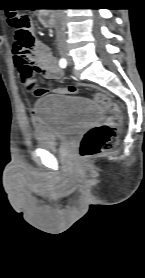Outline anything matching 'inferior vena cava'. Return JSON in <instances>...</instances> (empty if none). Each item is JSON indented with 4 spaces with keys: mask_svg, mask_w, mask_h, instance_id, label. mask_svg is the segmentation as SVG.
<instances>
[{
    "mask_svg": "<svg viewBox=\"0 0 145 278\" xmlns=\"http://www.w3.org/2000/svg\"><path fill=\"white\" fill-rule=\"evenodd\" d=\"M57 40L59 43H63L66 40L65 14L62 10H59L58 12Z\"/></svg>",
    "mask_w": 145,
    "mask_h": 278,
    "instance_id": "obj_1",
    "label": "inferior vena cava"
}]
</instances>
